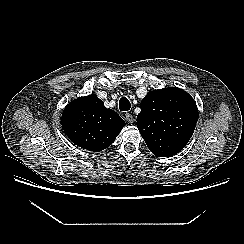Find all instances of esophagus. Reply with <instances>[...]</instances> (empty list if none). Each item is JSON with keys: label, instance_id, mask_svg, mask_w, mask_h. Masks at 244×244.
<instances>
[{"label": "esophagus", "instance_id": "obj_1", "mask_svg": "<svg viewBox=\"0 0 244 244\" xmlns=\"http://www.w3.org/2000/svg\"><path fill=\"white\" fill-rule=\"evenodd\" d=\"M125 118L127 120L128 123H133L134 122V118L130 113H126L125 114Z\"/></svg>", "mask_w": 244, "mask_h": 244}]
</instances>
